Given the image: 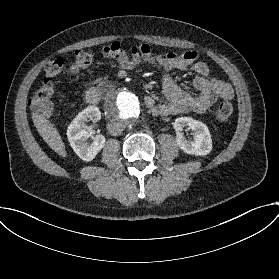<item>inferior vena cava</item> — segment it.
Here are the masks:
<instances>
[{"instance_id": "1", "label": "inferior vena cava", "mask_w": 279, "mask_h": 279, "mask_svg": "<svg viewBox=\"0 0 279 279\" xmlns=\"http://www.w3.org/2000/svg\"><path fill=\"white\" fill-rule=\"evenodd\" d=\"M109 133L113 136H119L123 133V127L118 123H110L107 126Z\"/></svg>"}]
</instances>
